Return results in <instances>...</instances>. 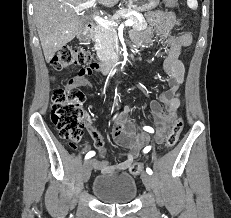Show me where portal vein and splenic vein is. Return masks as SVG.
I'll return each instance as SVG.
<instances>
[{"instance_id":"portal-vein-and-splenic-vein-1","label":"portal vein and splenic vein","mask_w":231,"mask_h":218,"mask_svg":"<svg viewBox=\"0 0 231 218\" xmlns=\"http://www.w3.org/2000/svg\"><path fill=\"white\" fill-rule=\"evenodd\" d=\"M96 0H88L85 3L79 4L77 6H71L77 13L80 11H83L85 9H88L90 7H92L93 5H95ZM93 19L95 22H97L99 25L103 26V27H113V26H117V24L113 21H109V20H105L102 17L98 16V15H93ZM124 24L126 26H133L134 22L132 20H127L124 22Z\"/></svg>"}]
</instances>
